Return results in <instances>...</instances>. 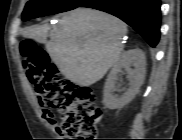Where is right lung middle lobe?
Listing matches in <instances>:
<instances>
[{"mask_svg":"<svg viewBox=\"0 0 182 140\" xmlns=\"http://www.w3.org/2000/svg\"><path fill=\"white\" fill-rule=\"evenodd\" d=\"M86 0H30L22 13L23 21L69 11Z\"/></svg>","mask_w":182,"mask_h":140,"instance_id":"right-lung-middle-lobe-1","label":"right lung middle lobe"}]
</instances>
